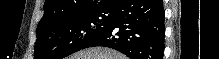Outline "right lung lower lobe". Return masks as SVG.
Listing matches in <instances>:
<instances>
[{
    "mask_svg": "<svg viewBox=\"0 0 219 59\" xmlns=\"http://www.w3.org/2000/svg\"><path fill=\"white\" fill-rule=\"evenodd\" d=\"M164 19L162 0H117L108 28L84 48L104 46L130 59H162Z\"/></svg>",
    "mask_w": 219,
    "mask_h": 59,
    "instance_id": "right-lung-lower-lobe-1",
    "label": "right lung lower lobe"
}]
</instances>
